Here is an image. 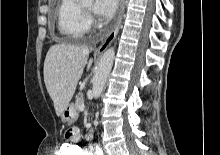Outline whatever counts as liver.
Instances as JSON below:
<instances>
[{"instance_id":"liver-1","label":"liver","mask_w":220,"mask_h":155,"mask_svg":"<svg viewBox=\"0 0 220 155\" xmlns=\"http://www.w3.org/2000/svg\"><path fill=\"white\" fill-rule=\"evenodd\" d=\"M89 50L82 46L55 44L50 47L44 61V82L51 97L57 116L69 105L85 66Z\"/></svg>"}]
</instances>
